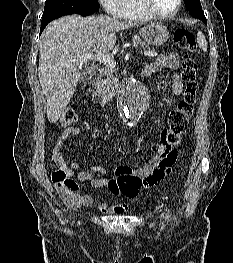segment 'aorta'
<instances>
[{
  "label": "aorta",
  "mask_w": 233,
  "mask_h": 263,
  "mask_svg": "<svg viewBox=\"0 0 233 263\" xmlns=\"http://www.w3.org/2000/svg\"><path fill=\"white\" fill-rule=\"evenodd\" d=\"M147 104V90L142 83L132 78L123 81L119 106L126 121H137Z\"/></svg>",
  "instance_id": "1"
}]
</instances>
